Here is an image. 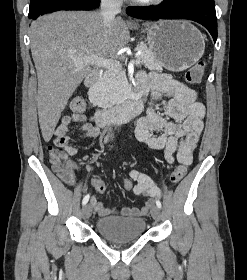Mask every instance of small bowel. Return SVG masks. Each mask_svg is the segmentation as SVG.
<instances>
[{
    "label": "small bowel",
    "instance_id": "1",
    "mask_svg": "<svg viewBox=\"0 0 247 280\" xmlns=\"http://www.w3.org/2000/svg\"><path fill=\"white\" fill-rule=\"evenodd\" d=\"M137 80L142 90H150L154 101L161 97H169L165 116L158 113L153 104L148 108L146 116L141 118L136 126V138L150 149L163 150L166 161L173 164L175 161L182 165H190L193 153L203 130L205 108L197 101L194 89L173 79L168 74L140 72ZM78 123V131L82 138L99 136L100 127L93 119L84 115H66L54 130V144L65 149L68 155L77 153L76 147L71 143L68 134L71 124ZM159 133V134H154ZM79 167L73 165L71 177L63 179L70 186L75 184L74 172ZM129 178L135 182L131 190L136 194L146 197L159 195V189L153 180L145 173L132 170ZM92 186L99 194L105 192V184L100 179H92ZM91 208L101 217L120 214L126 217H139L145 215L150 207L146 203L141 208L124 207L120 210L108 208L97 198L90 200Z\"/></svg>",
    "mask_w": 247,
    "mask_h": 280
}]
</instances>
